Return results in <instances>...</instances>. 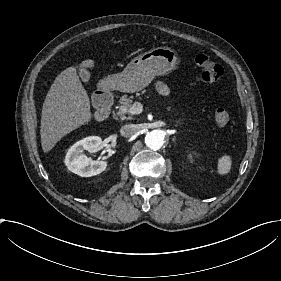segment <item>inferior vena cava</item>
<instances>
[{
	"instance_id": "1",
	"label": "inferior vena cava",
	"mask_w": 281,
	"mask_h": 281,
	"mask_svg": "<svg viewBox=\"0 0 281 281\" xmlns=\"http://www.w3.org/2000/svg\"><path fill=\"white\" fill-rule=\"evenodd\" d=\"M138 131V127L136 125H125L121 128V134L124 137H131L133 136L135 133H137Z\"/></svg>"
}]
</instances>
